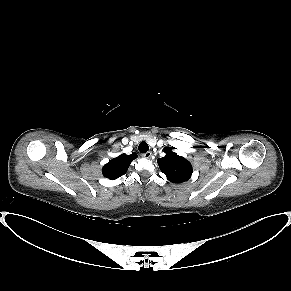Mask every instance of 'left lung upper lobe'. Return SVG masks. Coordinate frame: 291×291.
<instances>
[{
    "label": "left lung upper lobe",
    "instance_id": "left-lung-upper-lobe-1",
    "mask_svg": "<svg viewBox=\"0 0 291 291\" xmlns=\"http://www.w3.org/2000/svg\"><path fill=\"white\" fill-rule=\"evenodd\" d=\"M166 155L157 160L160 170L173 183H182L190 179L192 175V165L184 157L172 152L170 148H165Z\"/></svg>",
    "mask_w": 291,
    "mask_h": 291
}]
</instances>
